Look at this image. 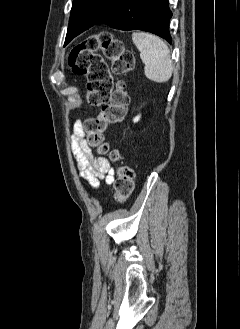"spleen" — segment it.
<instances>
[{"mask_svg":"<svg viewBox=\"0 0 240 329\" xmlns=\"http://www.w3.org/2000/svg\"><path fill=\"white\" fill-rule=\"evenodd\" d=\"M132 40L140 51V58L145 65V76L157 83L168 81L173 73V63L165 42L145 32L133 33Z\"/></svg>","mask_w":240,"mask_h":329,"instance_id":"spleen-1","label":"spleen"}]
</instances>
